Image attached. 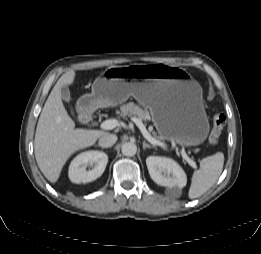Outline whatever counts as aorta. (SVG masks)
<instances>
[{
	"label": "aorta",
	"mask_w": 261,
	"mask_h": 254,
	"mask_svg": "<svg viewBox=\"0 0 261 254\" xmlns=\"http://www.w3.org/2000/svg\"><path fill=\"white\" fill-rule=\"evenodd\" d=\"M121 151L124 156L131 157L136 154L137 146L132 142H126L122 145Z\"/></svg>",
	"instance_id": "1"
}]
</instances>
